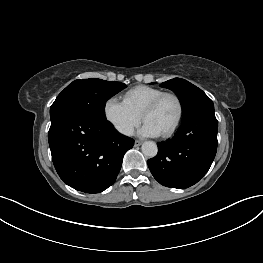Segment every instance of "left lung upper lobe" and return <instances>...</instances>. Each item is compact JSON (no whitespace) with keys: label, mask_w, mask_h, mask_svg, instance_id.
I'll use <instances>...</instances> for the list:
<instances>
[{"label":"left lung upper lobe","mask_w":263,"mask_h":263,"mask_svg":"<svg viewBox=\"0 0 263 263\" xmlns=\"http://www.w3.org/2000/svg\"><path fill=\"white\" fill-rule=\"evenodd\" d=\"M176 93L183 108L182 122L202 113L214 112L212 100L198 87L190 82L174 78L160 85Z\"/></svg>","instance_id":"5c2ea615"}]
</instances>
